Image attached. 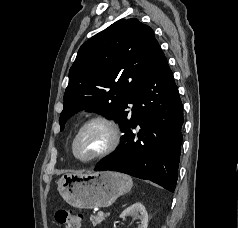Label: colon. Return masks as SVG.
<instances>
[{
  "instance_id": "1",
  "label": "colon",
  "mask_w": 238,
  "mask_h": 228,
  "mask_svg": "<svg viewBox=\"0 0 238 228\" xmlns=\"http://www.w3.org/2000/svg\"><path fill=\"white\" fill-rule=\"evenodd\" d=\"M55 219L58 224L66 228H80L82 217L80 214L75 213L69 209L58 210L55 214Z\"/></svg>"
}]
</instances>
